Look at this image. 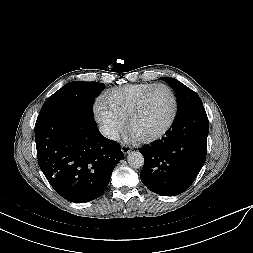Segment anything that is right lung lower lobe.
Returning a JSON list of instances; mask_svg holds the SVG:
<instances>
[{"instance_id":"98d812e1","label":"right lung lower lobe","mask_w":253,"mask_h":253,"mask_svg":"<svg viewBox=\"0 0 253 253\" xmlns=\"http://www.w3.org/2000/svg\"><path fill=\"white\" fill-rule=\"evenodd\" d=\"M38 164L63 198L84 203L98 198L124 157L120 146L103 137L93 118L46 112L35 124Z\"/></svg>"}]
</instances>
